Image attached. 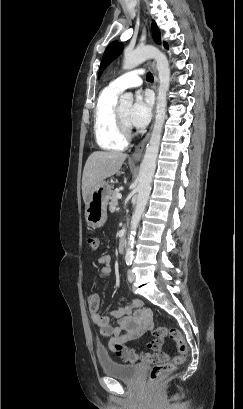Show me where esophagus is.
Wrapping results in <instances>:
<instances>
[{"label":"esophagus","mask_w":243,"mask_h":409,"mask_svg":"<svg viewBox=\"0 0 243 409\" xmlns=\"http://www.w3.org/2000/svg\"><path fill=\"white\" fill-rule=\"evenodd\" d=\"M151 67H152L153 72H154L153 89H154L155 92H156V91H157V81H158V78H157V71H156V68H155V62H154V61L151 62ZM150 134H151V130L146 134V136L144 137V139L135 147V150H134V152L132 153L131 158H130V160H131L132 162H138V161L140 160V158H141V156H142V153H143V150H144V148H145V146H146V143H147V141H148V139H149V137H150Z\"/></svg>","instance_id":"1"}]
</instances>
